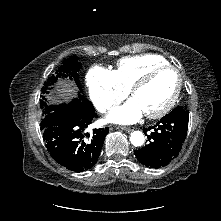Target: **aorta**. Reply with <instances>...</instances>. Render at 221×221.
I'll use <instances>...</instances> for the list:
<instances>
[{"label": "aorta", "instance_id": "762f6f07", "mask_svg": "<svg viewBox=\"0 0 221 221\" xmlns=\"http://www.w3.org/2000/svg\"><path fill=\"white\" fill-rule=\"evenodd\" d=\"M144 135L141 131H134L130 135V142L133 146L138 147L144 144Z\"/></svg>", "mask_w": 221, "mask_h": 221}]
</instances>
